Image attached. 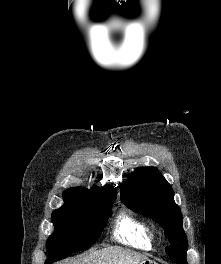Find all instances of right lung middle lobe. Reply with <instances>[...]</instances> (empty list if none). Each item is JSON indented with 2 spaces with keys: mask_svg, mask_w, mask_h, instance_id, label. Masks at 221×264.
I'll list each match as a JSON object with an SVG mask.
<instances>
[{
  "mask_svg": "<svg viewBox=\"0 0 221 264\" xmlns=\"http://www.w3.org/2000/svg\"><path fill=\"white\" fill-rule=\"evenodd\" d=\"M115 198L98 199L81 208L55 210L52 213L55 231L47 242L50 254L45 264L93 245L107 224Z\"/></svg>",
  "mask_w": 221,
  "mask_h": 264,
  "instance_id": "obj_1",
  "label": "right lung middle lobe"
}]
</instances>
